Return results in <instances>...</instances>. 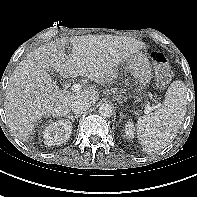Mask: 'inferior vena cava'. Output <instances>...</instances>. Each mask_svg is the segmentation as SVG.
Here are the masks:
<instances>
[{
	"mask_svg": "<svg viewBox=\"0 0 197 197\" xmlns=\"http://www.w3.org/2000/svg\"><path fill=\"white\" fill-rule=\"evenodd\" d=\"M91 106V101L87 98L80 97L71 103V110L74 114H82Z\"/></svg>",
	"mask_w": 197,
	"mask_h": 197,
	"instance_id": "inferior-vena-cava-1",
	"label": "inferior vena cava"
}]
</instances>
